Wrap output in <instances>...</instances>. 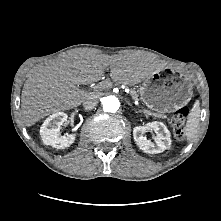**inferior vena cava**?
I'll return each mask as SVG.
<instances>
[{"label": "inferior vena cava", "instance_id": "1", "mask_svg": "<svg viewBox=\"0 0 221 221\" xmlns=\"http://www.w3.org/2000/svg\"><path fill=\"white\" fill-rule=\"evenodd\" d=\"M98 103V95L90 94L83 100V107L85 110L93 109Z\"/></svg>", "mask_w": 221, "mask_h": 221}]
</instances>
